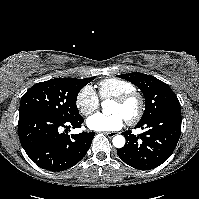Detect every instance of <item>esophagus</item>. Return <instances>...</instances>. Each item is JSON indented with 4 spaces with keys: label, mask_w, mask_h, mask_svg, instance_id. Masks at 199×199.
I'll return each instance as SVG.
<instances>
[{
    "label": "esophagus",
    "mask_w": 199,
    "mask_h": 199,
    "mask_svg": "<svg viewBox=\"0 0 199 199\" xmlns=\"http://www.w3.org/2000/svg\"><path fill=\"white\" fill-rule=\"evenodd\" d=\"M105 134L109 137L112 138L116 135V132H105Z\"/></svg>",
    "instance_id": "obj_1"
}]
</instances>
